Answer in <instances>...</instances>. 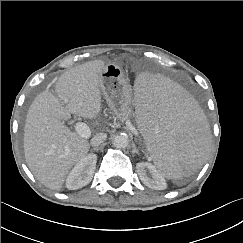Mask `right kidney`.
Instances as JSON below:
<instances>
[{"label": "right kidney", "instance_id": "right-kidney-1", "mask_svg": "<svg viewBox=\"0 0 243 243\" xmlns=\"http://www.w3.org/2000/svg\"><path fill=\"white\" fill-rule=\"evenodd\" d=\"M96 162L97 156L95 154L83 157L69 173L66 179L67 189L76 190L86 186L92 180Z\"/></svg>", "mask_w": 243, "mask_h": 243}]
</instances>
